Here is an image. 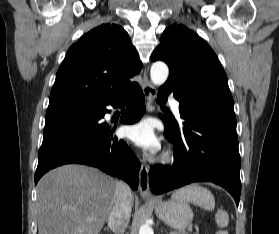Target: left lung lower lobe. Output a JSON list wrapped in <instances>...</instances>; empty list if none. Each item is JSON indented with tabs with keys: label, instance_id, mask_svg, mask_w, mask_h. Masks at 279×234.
Here are the masks:
<instances>
[{
	"label": "left lung lower lobe",
	"instance_id": "left-lung-lower-lobe-1",
	"mask_svg": "<svg viewBox=\"0 0 279 234\" xmlns=\"http://www.w3.org/2000/svg\"><path fill=\"white\" fill-rule=\"evenodd\" d=\"M180 102L181 126L161 116L165 137L174 145V163L149 172L150 188L155 194L197 181H210L224 187L239 204L240 155L236 117L231 105L187 96L174 84L165 83L158 92V103L172 93Z\"/></svg>",
	"mask_w": 279,
	"mask_h": 234
}]
</instances>
